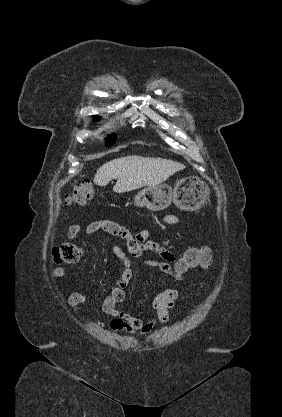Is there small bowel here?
Here are the masks:
<instances>
[{
    "label": "small bowel",
    "mask_w": 282,
    "mask_h": 417,
    "mask_svg": "<svg viewBox=\"0 0 282 417\" xmlns=\"http://www.w3.org/2000/svg\"><path fill=\"white\" fill-rule=\"evenodd\" d=\"M162 222L166 225H178L180 218L176 214H166L163 216ZM85 231L87 234L103 232L124 239L127 243V253L119 245H115L112 249L114 255L123 266V271L119 280L103 299V311L112 317L110 322L111 330L124 331L132 335L138 334L143 337L151 333L158 323L168 322L170 311L176 307V302L185 296L184 290L169 288L158 293L151 304L152 317L147 320H142L121 310L118 308V304L125 299L124 289L133 278L130 257L141 258L146 252L155 253L161 260L146 258L143 260V265L173 275V271L176 270L175 266H173L176 258L169 241L165 238H160L161 243L152 240L153 234L149 229L132 234L125 226L110 219L92 221L87 225ZM80 232L81 226L72 224L68 229L67 237L71 240L75 239ZM69 275V271L63 267H56L51 272V276L54 279L66 278ZM85 301L86 295L81 292H73L67 298V304L70 307H76Z\"/></svg>",
    "instance_id": "small-bowel-1"
}]
</instances>
